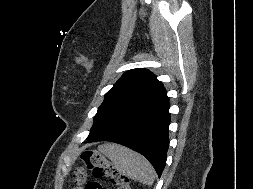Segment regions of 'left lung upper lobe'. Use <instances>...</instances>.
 <instances>
[{
	"mask_svg": "<svg viewBox=\"0 0 253 189\" xmlns=\"http://www.w3.org/2000/svg\"><path fill=\"white\" fill-rule=\"evenodd\" d=\"M166 96L162 83L149 70L133 69L125 72L105 94L89 136L113 130Z\"/></svg>",
	"mask_w": 253,
	"mask_h": 189,
	"instance_id": "1",
	"label": "left lung upper lobe"
}]
</instances>
